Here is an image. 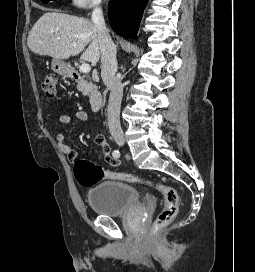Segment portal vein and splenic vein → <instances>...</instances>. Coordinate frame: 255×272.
I'll return each instance as SVG.
<instances>
[{
  "instance_id": "1",
  "label": "portal vein and splenic vein",
  "mask_w": 255,
  "mask_h": 272,
  "mask_svg": "<svg viewBox=\"0 0 255 272\" xmlns=\"http://www.w3.org/2000/svg\"><path fill=\"white\" fill-rule=\"evenodd\" d=\"M80 71L83 73H89L91 71V67L88 63H82L80 66Z\"/></svg>"
}]
</instances>
